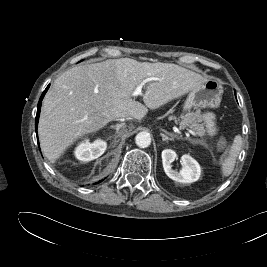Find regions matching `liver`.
I'll list each match as a JSON object with an SVG mask.
<instances>
[{
    "label": "liver",
    "instance_id": "1",
    "mask_svg": "<svg viewBox=\"0 0 267 267\" xmlns=\"http://www.w3.org/2000/svg\"><path fill=\"white\" fill-rule=\"evenodd\" d=\"M143 101L131 98L145 79ZM207 81L193 71L172 63L138 62L130 58L73 67L46 93L38 125L44 155L55 162L79 138L94 133L112 120H141L148 109L200 87Z\"/></svg>",
    "mask_w": 267,
    "mask_h": 267
}]
</instances>
